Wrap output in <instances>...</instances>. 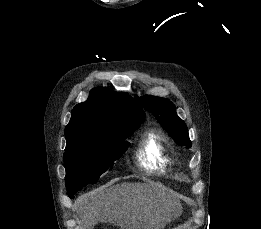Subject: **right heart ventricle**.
<instances>
[{"label":"right heart ventricle","mask_w":261,"mask_h":229,"mask_svg":"<svg viewBox=\"0 0 261 229\" xmlns=\"http://www.w3.org/2000/svg\"><path fill=\"white\" fill-rule=\"evenodd\" d=\"M135 159L141 168L163 171L172 164L169 143L159 131L150 129L137 142Z\"/></svg>","instance_id":"1"}]
</instances>
